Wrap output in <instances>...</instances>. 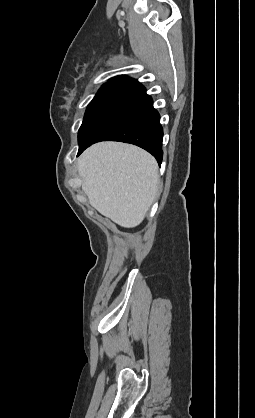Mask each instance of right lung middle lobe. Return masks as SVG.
I'll return each instance as SVG.
<instances>
[{
  "label": "right lung middle lobe",
  "mask_w": 255,
  "mask_h": 418,
  "mask_svg": "<svg viewBox=\"0 0 255 418\" xmlns=\"http://www.w3.org/2000/svg\"><path fill=\"white\" fill-rule=\"evenodd\" d=\"M124 88L119 86L103 85L94 99L89 103L83 123L78 132V139H80L86 130L87 126L94 118V116L100 111V109L116 94L121 92Z\"/></svg>",
  "instance_id": "right-lung-middle-lobe-1"
}]
</instances>
